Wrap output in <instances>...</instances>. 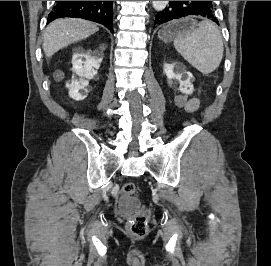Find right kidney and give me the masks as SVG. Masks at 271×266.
I'll return each mask as SVG.
<instances>
[{"instance_id": "right-kidney-1", "label": "right kidney", "mask_w": 271, "mask_h": 266, "mask_svg": "<svg viewBox=\"0 0 271 266\" xmlns=\"http://www.w3.org/2000/svg\"><path fill=\"white\" fill-rule=\"evenodd\" d=\"M101 62L102 58L92 56L91 53L73 55L72 71L75 76L71 83L66 84L72 99L80 101L87 97L89 80L97 74Z\"/></svg>"}]
</instances>
